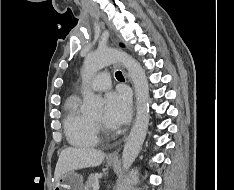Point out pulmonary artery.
Listing matches in <instances>:
<instances>
[{
  "instance_id": "e3ab8cb5",
  "label": "pulmonary artery",
  "mask_w": 234,
  "mask_h": 190,
  "mask_svg": "<svg viewBox=\"0 0 234 190\" xmlns=\"http://www.w3.org/2000/svg\"><path fill=\"white\" fill-rule=\"evenodd\" d=\"M110 85V79L109 76L106 74L99 75L96 77L92 83V88L94 90H105L109 87Z\"/></svg>"
}]
</instances>
